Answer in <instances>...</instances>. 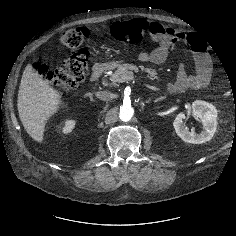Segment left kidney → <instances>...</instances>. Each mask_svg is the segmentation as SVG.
Wrapping results in <instances>:
<instances>
[{
    "mask_svg": "<svg viewBox=\"0 0 236 236\" xmlns=\"http://www.w3.org/2000/svg\"><path fill=\"white\" fill-rule=\"evenodd\" d=\"M192 112L201 120L204 129L198 134L190 131L184 124L186 115L179 113L173 122L176 134L187 143L202 144L210 141L217 129V109L211 103L196 100L192 103Z\"/></svg>",
    "mask_w": 236,
    "mask_h": 236,
    "instance_id": "5707ae66",
    "label": "left kidney"
}]
</instances>
